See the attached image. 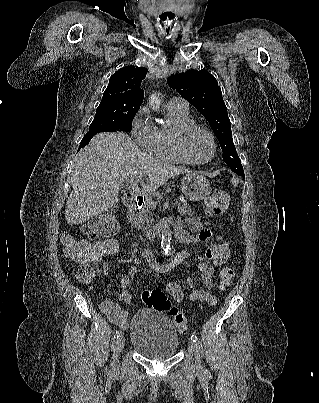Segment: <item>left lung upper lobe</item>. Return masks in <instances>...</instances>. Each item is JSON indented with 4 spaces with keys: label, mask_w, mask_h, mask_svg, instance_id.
I'll list each match as a JSON object with an SVG mask.
<instances>
[{
    "label": "left lung upper lobe",
    "mask_w": 319,
    "mask_h": 403,
    "mask_svg": "<svg viewBox=\"0 0 319 403\" xmlns=\"http://www.w3.org/2000/svg\"><path fill=\"white\" fill-rule=\"evenodd\" d=\"M167 82L208 120L221 145L223 160L233 172L244 176L233 143L227 108L216 78L204 70H188L170 76Z\"/></svg>",
    "instance_id": "5c2ea615"
}]
</instances>
